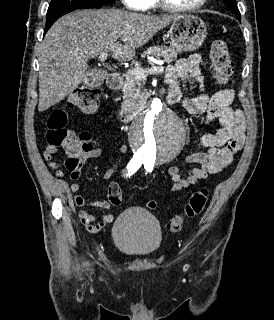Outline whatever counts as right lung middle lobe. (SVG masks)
I'll return each mask as SVG.
<instances>
[{
	"label": "right lung middle lobe",
	"mask_w": 274,
	"mask_h": 320,
	"mask_svg": "<svg viewBox=\"0 0 274 320\" xmlns=\"http://www.w3.org/2000/svg\"><path fill=\"white\" fill-rule=\"evenodd\" d=\"M115 1L116 0H51L47 17L70 9L105 5Z\"/></svg>",
	"instance_id": "dd1d6c3e"
}]
</instances>
